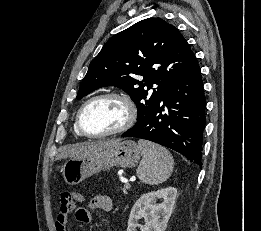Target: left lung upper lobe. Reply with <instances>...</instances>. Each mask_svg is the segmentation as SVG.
I'll return each instance as SVG.
<instances>
[{"instance_id":"obj_1","label":"left lung upper lobe","mask_w":261,"mask_h":231,"mask_svg":"<svg viewBox=\"0 0 261 231\" xmlns=\"http://www.w3.org/2000/svg\"><path fill=\"white\" fill-rule=\"evenodd\" d=\"M195 61L193 51L175 26L161 18L141 20L103 46L89 65L77 99L101 87H120L136 104L138 121ZM154 84L157 87L151 92Z\"/></svg>"}]
</instances>
